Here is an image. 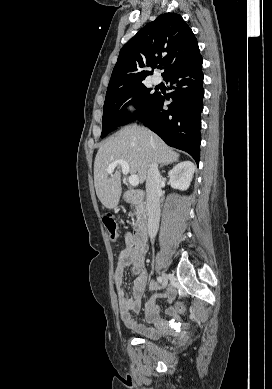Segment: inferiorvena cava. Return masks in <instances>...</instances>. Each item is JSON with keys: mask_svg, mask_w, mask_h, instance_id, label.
<instances>
[{"mask_svg": "<svg viewBox=\"0 0 272 389\" xmlns=\"http://www.w3.org/2000/svg\"><path fill=\"white\" fill-rule=\"evenodd\" d=\"M161 176L158 163L153 161L147 171L146 209L148 234L153 239L158 231L160 221Z\"/></svg>", "mask_w": 272, "mask_h": 389, "instance_id": "602c4592", "label": "inferior vena cava"}]
</instances>
